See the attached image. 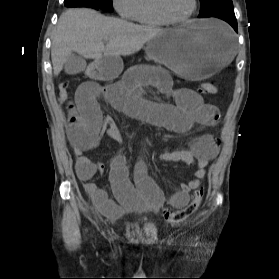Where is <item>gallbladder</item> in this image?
Returning <instances> with one entry per match:
<instances>
[{
	"instance_id": "obj_1",
	"label": "gallbladder",
	"mask_w": 279,
	"mask_h": 279,
	"mask_svg": "<svg viewBox=\"0 0 279 279\" xmlns=\"http://www.w3.org/2000/svg\"><path fill=\"white\" fill-rule=\"evenodd\" d=\"M86 61L80 55L71 54L64 64L65 73L75 75L86 69Z\"/></svg>"
}]
</instances>
